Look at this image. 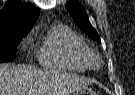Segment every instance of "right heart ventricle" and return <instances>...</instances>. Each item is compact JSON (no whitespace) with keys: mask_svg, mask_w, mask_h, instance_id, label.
<instances>
[{"mask_svg":"<svg viewBox=\"0 0 135 95\" xmlns=\"http://www.w3.org/2000/svg\"><path fill=\"white\" fill-rule=\"evenodd\" d=\"M37 54L40 64L49 68L85 71L91 67L90 48L64 24L53 25L46 31Z\"/></svg>","mask_w":135,"mask_h":95,"instance_id":"right-heart-ventricle-1","label":"right heart ventricle"}]
</instances>
